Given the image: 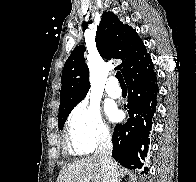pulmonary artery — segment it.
<instances>
[{
    "label": "pulmonary artery",
    "instance_id": "e3ab8cb5",
    "mask_svg": "<svg viewBox=\"0 0 196 182\" xmlns=\"http://www.w3.org/2000/svg\"><path fill=\"white\" fill-rule=\"evenodd\" d=\"M105 91L107 95H109L112 98H119L122 94L121 88L118 85V81L115 77L108 79Z\"/></svg>",
    "mask_w": 196,
    "mask_h": 182
}]
</instances>
